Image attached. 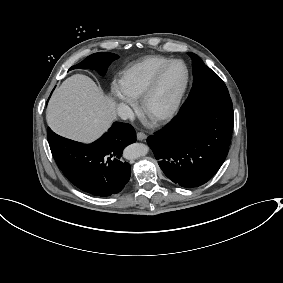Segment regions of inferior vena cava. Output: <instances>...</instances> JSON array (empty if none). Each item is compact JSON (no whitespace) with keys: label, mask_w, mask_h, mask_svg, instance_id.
<instances>
[{"label":"inferior vena cava","mask_w":283,"mask_h":283,"mask_svg":"<svg viewBox=\"0 0 283 283\" xmlns=\"http://www.w3.org/2000/svg\"><path fill=\"white\" fill-rule=\"evenodd\" d=\"M117 114L121 119H124V120L132 119L134 117V113H133L132 109L124 103H121L118 106Z\"/></svg>","instance_id":"1"}]
</instances>
